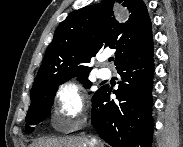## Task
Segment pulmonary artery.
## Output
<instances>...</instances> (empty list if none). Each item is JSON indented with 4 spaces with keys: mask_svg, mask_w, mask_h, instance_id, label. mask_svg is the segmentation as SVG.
<instances>
[{
    "mask_svg": "<svg viewBox=\"0 0 183 147\" xmlns=\"http://www.w3.org/2000/svg\"><path fill=\"white\" fill-rule=\"evenodd\" d=\"M98 75L101 79H108L111 77V70L109 68H101L98 71Z\"/></svg>",
    "mask_w": 183,
    "mask_h": 147,
    "instance_id": "pulmonary-artery-1",
    "label": "pulmonary artery"
}]
</instances>
